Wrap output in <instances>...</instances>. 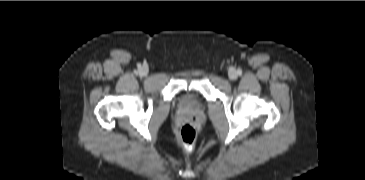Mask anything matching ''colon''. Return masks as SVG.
<instances>
[{
	"label": "colon",
	"instance_id": "1",
	"mask_svg": "<svg viewBox=\"0 0 365 180\" xmlns=\"http://www.w3.org/2000/svg\"><path fill=\"white\" fill-rule=\"evenodd\" d=\"M178 138L188 149L192 148L196 141V131L192 124L185 123L179 130Z\"/></svg>",
	"mask_w": 365,
	"mask_h": 180
}]
</instances>
